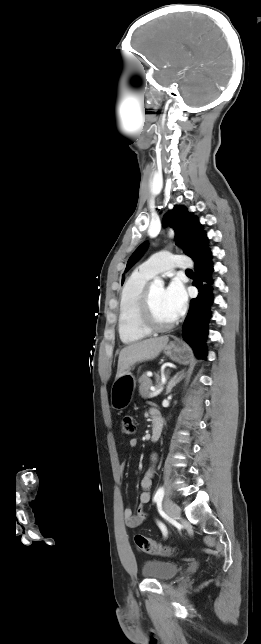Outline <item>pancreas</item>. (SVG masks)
<instances>
[{"label": "pancreas", "instance_id": "cf45deb5", "mask_svg": "<svg viewBox=\"0 0 261 644\" xmlns=\"http://www.w3.org/2000/svg\"><path fill=\"white\" fill-rule=\"evenodd\" d=\"M156 381H157V387H160L161 386V381H160L159 375H156ZM139 383H140L139 393L142 396V398L150 397V393L152 392L150 390V387L152 385L151 379L146 374H143L139 378Z\"/></svg>", "mask_w": 261, "mask_h": 644}]
</instances>
